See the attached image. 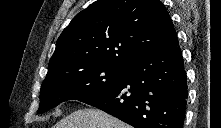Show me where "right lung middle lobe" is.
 <instances>
[{
    "label": "right lung middle lobe",
    "mask_w": 221,
    "mask_h": 128,
    "mask_svg": "<svg viewBox=\"0 0 221 128\" xmlns=\"http://www.w3.org/2000/svg\"><path fill=\"white\" fill-rule=\"evenodd\" d=\"M127 67L105 64L69 65L47 73L40 92L41 114L68 100L82 101L117 83Z\"/></svg>",
    "instance_id": "right-lung-middle-lobe-1"
}]
</instances>
